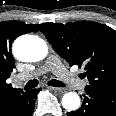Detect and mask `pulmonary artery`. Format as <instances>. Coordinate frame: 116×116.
<instances>
[{
	"label": "pulmonary artery",
	"mask_w": 116,
	"mask_h": 116,
	"mask_svg": "<svg viewBox=\"0 0 116 116\" xmlns=\"http://www.w3.org/2000/svg\"><path fill=\"white\" fill-rule=\"evenodd\" d=\"M48 71H52L60 80L77 89L84 90L88 85L86 80H81L75 73L68 71L62 62L55 56H50L46 62L34 72V74L41 75ZM27 77L28 76L26 75L19 74L15 79L17 81H22Z\"/></svg>",
	"instance_id": "1"
}]
</instances>
